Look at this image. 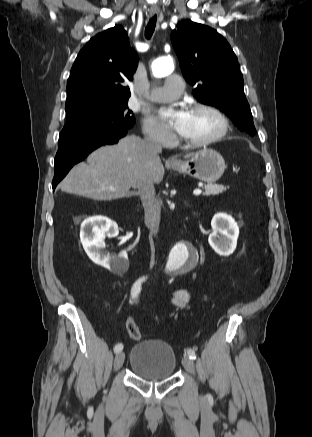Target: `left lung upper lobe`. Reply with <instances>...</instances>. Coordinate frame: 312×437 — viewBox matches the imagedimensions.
I'll list each match as a JSON object with an SVG mask.
<instances>
[{
  "instance_id": "left-lung-upper-lobe-1",
  "label": "left lung upper lobe",
  "mask_w": 312,
  "mask_h": 437,
  "mask_svg": "<svg viewBox=\"0 0 312 437\" xmlns=\"http://www.w3.org/2000/svg\"><path fill=\"white\" fill-rule=\"evenodd\" d=\"M171 40L185 79L196 87V99L220 109L240 130L255 135L243 76L226 39L211 27L186 20L177 25Z\"/></svg>"
}]
</instances>
